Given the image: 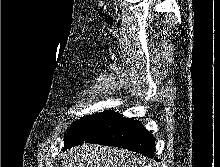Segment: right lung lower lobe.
Masks as SVG:
<instances>
[{
  "mask_svg": "<svg viewBox=\"0 0 220 167\" xmlns=\"http://www.w3.org/2000/svg\"><path fill=\"white\" fill-rule=\"evenodd\" d=\"M154 140L140 121L112 111L84 142L128 149L157 161Z\"/></svg>",
  "mask_w": 220,
  "mask_h": 167,
  "instance_id": "98d812e1",
  "label": "right lung lower lobe"
}]
</instances>
